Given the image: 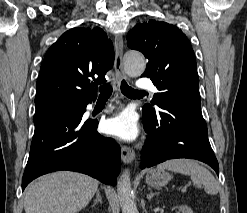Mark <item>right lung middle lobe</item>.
Here are the masks:
<instances>
[{"label": "right lung middle lobe", "instance_id": "right-lung-middle-lobe-1", "mask_svg": "<svg viewBox=\"0 0 247 213\" xmlns=\"http://www.w3.org/2000/svg\"><path fill=\"white\" fill-rule=\"evenodd\" d=\"M54 101H51L49 103H47L46 105H44L43 107L36 109V113L40 112L44 109H47L49 107V105H54ZM57 106H55L54 108L59 112V113H64V114H68V115H79L80 113V109L79 106H77L74 103H69V102H56Z\"/></svg>", "mask_w": 247, "mask_h": 213}]
</instances>
